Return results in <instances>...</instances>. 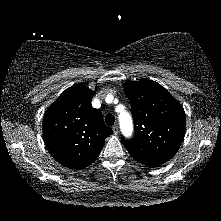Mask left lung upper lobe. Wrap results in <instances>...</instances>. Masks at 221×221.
<instances>
[{
  "instance_id": "5c2ea615",
  "label": "left lung upper lobe",
  "mask_w": 221,
  "mask_h": 221,
  "mask_svg": "<svg viewBox=\"0 0 221 221\" xmlns=\"http://www.w3.org/2000/svg\"><path fill=\"white\" fill-rule=\"evenodd\" d=\"M124 92L131 102L135 136L121 139L136 161L157 167L178 151L185 135V112L160 84L149 79L128 81Z\"/></svg>"
}]
</instances>
